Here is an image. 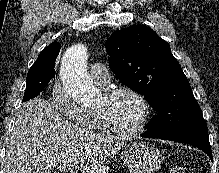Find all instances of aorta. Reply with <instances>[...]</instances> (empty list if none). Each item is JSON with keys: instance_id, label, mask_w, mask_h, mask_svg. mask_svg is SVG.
<instances>
[{"instance_id": "obj_1", "label": "aorta", "mask_w": 219, "mask_h": 173, "mask_svg": "<svg viewBox=\"0 0 219 173\" xmlns=\"http://www.w3.org/2000/svg\"><path fill=\"white\" fill-rule=\"evenodd\" d=\"M87 58V48L83 44L71 46L62 58L61 79L64 88L77 101L91 100L98 93L87 72Z\"/></svg>"}]
</instances>
